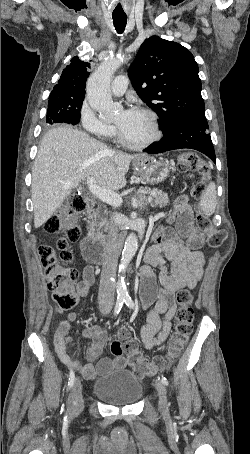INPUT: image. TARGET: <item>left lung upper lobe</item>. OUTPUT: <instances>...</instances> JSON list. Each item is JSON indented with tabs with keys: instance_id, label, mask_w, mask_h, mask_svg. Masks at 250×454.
<instances>
[{
	"instance_id": "1",
	"label": "left lung upper lobe",
	"mask_w": 250,
	"mask_h": 454,
	"mask_svg": "<svg viewBox=\"0 0 250 454\" xmlns=\"http://www.w3.org/2000/svg\"><path fill=\"white\" fill-rule=\"evenodd\" d=\"M128 75L165 132L176 121L205 114L198 65L182 45L152 36L141 45Z\"/></svg>"
}]
</instances>
